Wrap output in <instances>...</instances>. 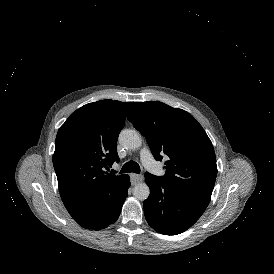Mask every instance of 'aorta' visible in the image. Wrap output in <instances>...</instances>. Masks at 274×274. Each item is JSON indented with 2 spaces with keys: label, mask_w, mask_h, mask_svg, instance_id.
I'll return each instance as SVG.
<instances>
[{
  "label": "aorta",
  "mask_w": 274,
  "mask_h": 274,
  "mask_svg": "<svg viewBox=\"0 0 274 274\" xmlns=\"http://www.w3.org/2000/svg\"><path fill=\"white\" fill-rule=\"evenodd\" d=\"M119 143L128 149H137L142 144L140 134L132 129H124L119 135ZM150 189L146 183H138L133 188V196L138 200H146L149 197Z\"/></svg>",
  "instance_id": "762f6f07"
}]
</instances>
